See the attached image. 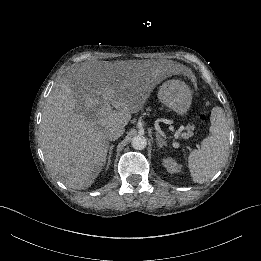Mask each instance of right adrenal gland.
Wrapping results in <instances>:
<instances>
[{"label": "right adrenal gland", "mask_w": 261, "mask_h": 261, "mask_svg": "<svg viewBox=\"0 0 261 261\" xmlns=\"http://www.w3.org/2000/svg\"><path fill=\"white\" fill-rule=\"evenodd\" d=\"M114 149L113 145L109 146V154H108V161H107V165L109 166L111 161H112V150Z\"/></svg>", "instance_id": "1"}]
</instances>
